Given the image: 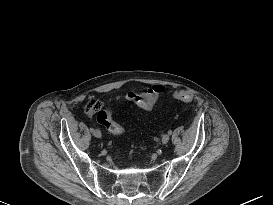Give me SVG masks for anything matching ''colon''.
<instances>
[{
  "instance_id": "colon-1",
  "label": "colon",
  "mask_w": 273,
  "mask_h": 205,
  "mask_svg": "<svg viewBox=\"0 0 273 205\" xmlns=\"http://www.w3.org/2000/svg\"><path fill=\"white\" fill-rule=\"evenodd\" d=\"M173 97L182 102H190L192 95L187 91H176ZM85 111L88 114H96L97 121L103 125L110 133L114 135H121L124 133V127L113 119V112L111 109L101 110L100 102L95 98H90L86 105Z\"/></svg>"
}]
</instances>
